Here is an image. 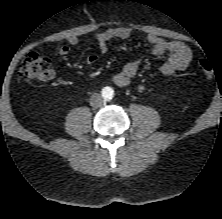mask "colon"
<instances>
[{"label": "colon", "mask_w": 222, "mask_h": 219, "mask_svg": "<svg viewBox=\"0 0 222 219\" xmlns=\"http://www.w3.org/2000/svg\"><path fill=\"white\" fill-rule=\"evenodd\" d=\"M200 69L207 78H211L214 74V68L207 60L201 61ZM19 75L25 80H48L52 75L50 61L38 53L31 52L24 57L19 68Z\"/></svg>", "instance_id": "1"}]
</instances>
